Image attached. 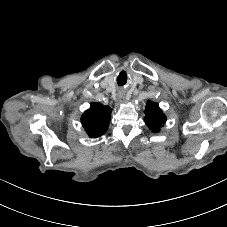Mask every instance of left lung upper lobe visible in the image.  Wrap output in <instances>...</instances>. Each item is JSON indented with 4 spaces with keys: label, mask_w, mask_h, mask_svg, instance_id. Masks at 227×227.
Masks as SVG:
<instances>
[{
    "label": "left lung upper lobe",
    "mask_w": 227,
    "mask_h": 227,
    "mask_svg": "<svg viewBox=\"0 0 227 227\" xmlns=\"http://www.w3.org/2000/svg\"><path fill=\"white\" fill-rule=\"evenodd\" d=\"M146 125L153 131L158 132L160 127L166 122V116L155 102H147L145 106Z\"/></svg>",
    "instance_id": "obj_1"
}]
</instances>
